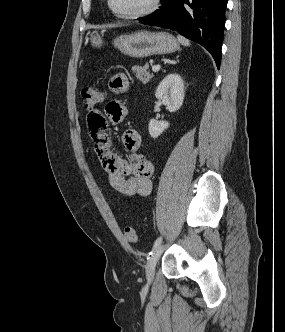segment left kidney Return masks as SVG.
I'll use <instances>...</instances> for the list:
<instances>
[{"instance_id": "left-kidney-1", "label": "left kidney", "mask_w": 285, "mask_h": 332, "mask_svg": "<svg viewBox=\"0 0 285 332\" xmlns=\"http://www.w3.org/2000/svg\"><path fill=\"white\" fill-rule=\"evenodd\" d=\"M184 96V82L177 73L167 75L160 82L155 92V97L167 107L169 112H176L180 109ZM168 127L169 123L167 121L151 119L148 126L149 134L152 138H157Z\"/></svg>"}]
</instances>
